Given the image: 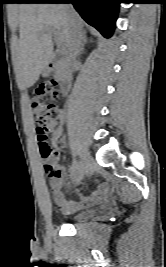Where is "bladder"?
<instances>
[{"label":"bladder","mask_w":166,"mask_h":267,"mask_svg":"<svg viewBox=\"0 0 166 267\" xmlns=\"http://www.w3.org/2000/svg\"><path fill=\"white\" fill-rule=\"evenodd\" d=\"M91 215H92L91 211L80 212L71 216L69 221L72 223L81 222L88 219Z\"/></svg>","instance_id":"bladder-1"}]
</instances>
